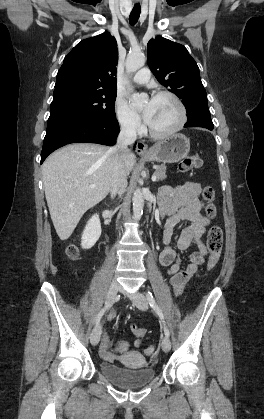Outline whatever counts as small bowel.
Listing matches in <instances>:
<instances>
[{
	"instance_id": "c3829d8e",
	"label": "small bowel",
	"mask_w": 264,
	"mask_h": 419,
	"mask_svg": "<svg viewBox=\"0 0 264 419\" xmlns=\"http://www.w3.org/2000/svg\"><path fill=\"white\" fill-rule=\"evenodd\" d=\"M202 187L199 183L186 181L176 186L164 185L160 189L161 210L167 216L163 234V249L159 255L160 264L166 269L170 276V283L174 293L179 295L186 284L192 279L199 266L204 264L208 251L202 242L209 219L202 213L204 202L201 199ZM180 221H189L178 241L177 248L189 253V264L182 267V258L178 256L175 248L171 245L174 227ZM192 247L197 250L191 251ZM115 318L114 314L109 315V320ZM131 331L136 337L134 346L140 347L147 330L131 324ZM129 344L120 342L112 346L110 336L104 333L100 352L101 356L109 362L125 359L131 355L128 352Z\"/></svg>"
}]
</instances>
